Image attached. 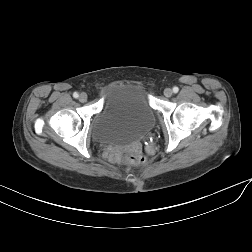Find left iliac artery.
Returning <instances> with one entry per match:
<instances>
[{"instance_id": "1", "label": "left iliac artery", "mask_w": 252, "mask_h": 252, "mask_svg": "<svg viewBox=\"0 0 252 252\" xmlns=\"http://www.w3.org/2000/svg\"><path fill=\"white\" fill-rule=\"evenodd\" d=\"M178 91H179V88H178V87H176V86L173 87V92H174V93H177Z\"/></svg>"}]
</instances>
